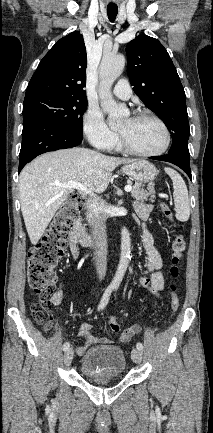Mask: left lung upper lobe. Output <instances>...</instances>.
<instances>
[{"label":"left lung upper lobe","instance_id":"left-lung-upper-lobe-1","mask_svg":"<svg viewBox=\"0 0 213 433\" xmlns=\"http://www.w3.org/2000/svg\"><path fill=\"white\" fill-rule=\"evenodd\" d=\"M126 54L134 92L163 120L172 135L169 153L189 157L185 92L168 52L157 39L140 35L128 43Z\"/></svg>","mask_w":213,"mask_h":433}]
</instances>
